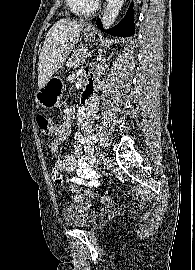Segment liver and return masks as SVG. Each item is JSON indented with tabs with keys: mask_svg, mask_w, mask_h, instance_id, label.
I'll return each instance as SVG.
<instances>
[{
	"mask_svg": "<svg viewBox=\"0 0 195 270\" xmlns=\"http://www.w3.org/2000/svg\"><path fill=\"white\" fill-rule=\"evenodd\" d=\"M83 27V22L60 19L50 28L39 55V89L63 66L66 58L79 41Z\"/></svg>",
	"mask_w": 195,
	"mask_h": 270,
	"instance_id": "liver-1",
	"label": "liver"
}]
</instances>
